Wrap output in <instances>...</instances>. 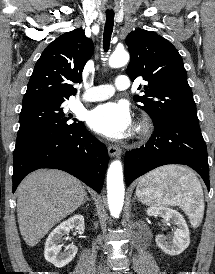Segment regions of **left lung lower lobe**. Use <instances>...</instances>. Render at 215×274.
Listing matches in <instances>:
<instances>
[{
  "label": "left lung lower lobe",
  "mask_w": 215,
  "mask_h": 274,
  "mask_svg": "<svg viewBox=\"0 0 215 274\" xmlns=\"http://www.w3.org/2000/svg\"><path fill=\"white\" fill-rule=\"evenodd\" d=\"M167 164H183L193 168L210 189L207 147L199 124L179 120L154 124V133L148 143L125 154L126 184Z\"/></svg>",
  "instance_id": "obj_1"
}]
</instances>
